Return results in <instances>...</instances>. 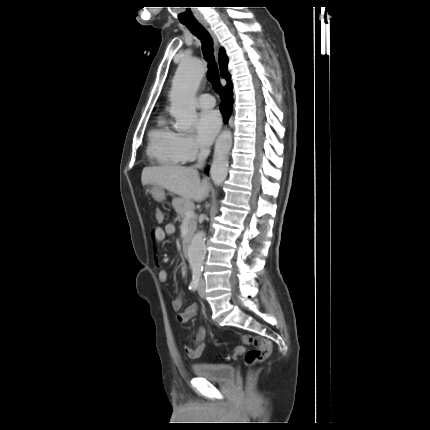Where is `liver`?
<instances>
[{"mask_svg":"<svg viewBox=\"0 0 430 430\" xmlns=\"http://www.w3.org/2000/svg\"><path fill=\"white\" fill-rule=\"evenodd\" d=\"M142 184H156L188 201H203L209 192L206 180L200 181L197 170L192 167L164 165L145 167L141 175Z\"/></svg>","mask_w":430,"mask_h":430,"instance_id":"1","label":"liver"}]
</instances>
